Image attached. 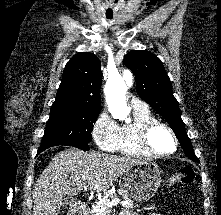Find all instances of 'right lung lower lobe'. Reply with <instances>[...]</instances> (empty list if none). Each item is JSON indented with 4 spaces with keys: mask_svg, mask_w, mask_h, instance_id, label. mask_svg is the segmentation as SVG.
I'll return each instance as SVG.
<instances>
[{
    "mask_svg": "<svg viewBox=\"0 0 221 215\" xmlns=\"http://www.w3.org/2000/svg\"><path fill=\"white\" fill-rule=\"evenodd\" d=\"M89 143L88 142H83V141H80V142H77V143H72L68 146H73V147H76V148H79V149H82L83 151H87L89 149ZM49 148L48 146H41L38 150V153H41L42 151H44L45 149Z\"/></svg>",
    "mask_w": 221,
    "mask_h": 215,
    "instance_id": "obj_1",
    "label": "right lung lower lobe"
}]
</instances>
